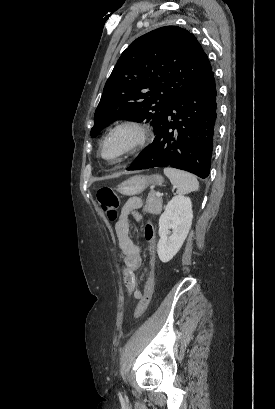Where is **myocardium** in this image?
I'll use <instances>...</instances> for the list:
<instances>
[{
    "label": "myocardium",
    "instance_id": "f54148a6",
    "mask_svg": "<svg viewBox=\"0 0 275 409\" xmlns=\"http://www.w3.org/2000/svg\"><path fill=\"white\" fill-rule=\"evenodd\" d=\"M145 127L136 121H124L115 125L105 136L101 143L100 152L102 157H124L127 154L133 152L139 146H141L146 140ZM123 137L125 139L124 144L120 150L113 154H106V147L115 139Z\"/></svg>",
    "mask_w": 275,
    "mask_h": 409
}]
</instances>
